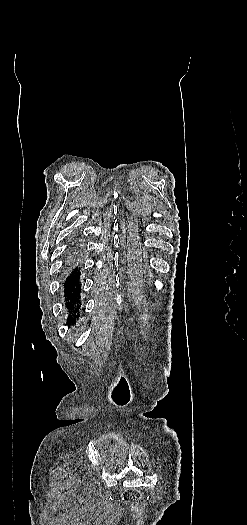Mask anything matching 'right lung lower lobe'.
Listing matches in <instances>:
<instances>
[{"instance_id": "obj_1", "label": "right lung lower lobe", "mask_w": 247, "mask_h": 525, "mask_svg": "<svg viewBox=\"0 0 247 525\" xmlns=\"http://www.w3.org/2000/svg\"><path fill=\"white\" fill-rule=\"evenodd\" d=\"M79 275L80 272L76 267L73 271V274H71V276H69L65 282V297L70 301L67 303L69 308H73L74 304L79 301V293L81 292L78 280ZM74 312H78V308Z\"/></svg>"}]
</instances>
